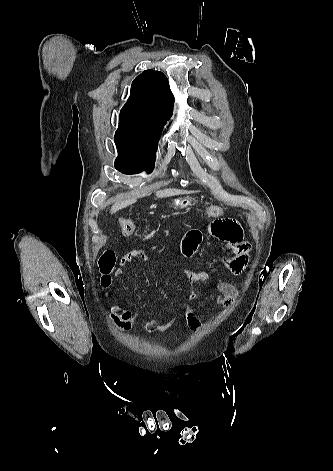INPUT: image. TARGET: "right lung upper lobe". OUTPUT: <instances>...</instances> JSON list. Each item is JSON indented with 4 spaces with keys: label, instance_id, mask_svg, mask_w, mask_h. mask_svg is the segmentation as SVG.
I'll return each mask as SVG.
<instances>
[{
    "label": "right lung upper lobe",
    "instance_id": "right-lung-upper-lobe-1",
    "mask_svg": "<svg viewBox=\"0 0 333 471\" xmlns=\"http://www.w3.org/2000/svg\"><path fill=\"white\" fill-rule=\"evenodd\" d=\"M173 101L166 76L145 70L132 83L131 95L120 112L119 127L162 131L172 115Z\"/></svg>",
    "mask_w": 333,
    "mask_h": 471
}]
</instances>
